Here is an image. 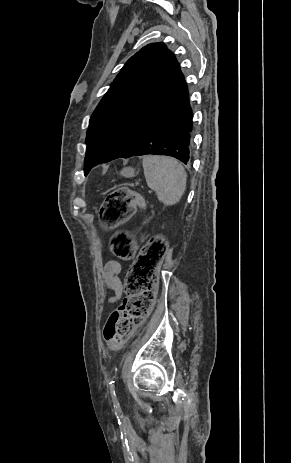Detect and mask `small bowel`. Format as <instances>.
I'll return each mask as SVG.
<instances>
[{
	"instance_id": "c3829d8e",
	"label": "small bowel",
	"mask_w": 291,
	"mask_h": 463,
	"mask_svg": "<svg viewBox=\"0 0 291 463\" xmlns=\"http://www.w3.org/2000/svg\"><path fill=\"white\" fill-rule=\"evenodd\" d=\"M122 264L116 260H108L103 266L102 277L107 287L113 292L110 303L118 301L123 294V283L120 278Z\"/></svg>"
}]
</instances>
